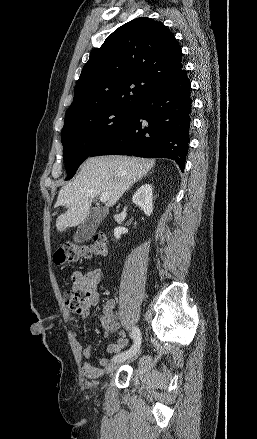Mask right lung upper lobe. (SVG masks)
Here are the masks:
<instances>
[{
    "mask_svg": "<svg viewBox=\"0 0 257 439\" xmlns=\"http://www.w3.org/2000/svg\"><path fill=\"white\" fill-rule=\"evenodd\" d=\"M182 52L161 22L136 18L94 49L74 89L65 120L106 108H137L154 89L182 70Z\"/></svg>",
    "mask_w": 257,
    "mask_h": 439,
    "instance_id": "1",
    "label": "right lung upper lobe"
}]
</instances>
